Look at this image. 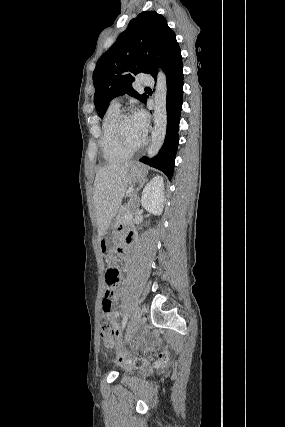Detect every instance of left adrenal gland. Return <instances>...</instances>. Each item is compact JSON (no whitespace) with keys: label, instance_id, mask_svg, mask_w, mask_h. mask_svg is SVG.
I'll list each match as a JSON object with an SVG mask.
<instances>
[{"label":"left adrenal gland","instance_id":"1","mask_svg":"<svg viewBox=\"0 0 285 427\" xmlns=\"http://www.w3.org/2000/svg\"><path fill=\"white\" fill-rule=\"evenodd\" d=\"M140 190V188H138L137 189V191L134 193V195H133V197L131 198V201L132 200H135L136 201V207H138L139 206V197L137 196V192Z\"/></svg>","mask_w":285,"mask_h":427}]
</instances>
